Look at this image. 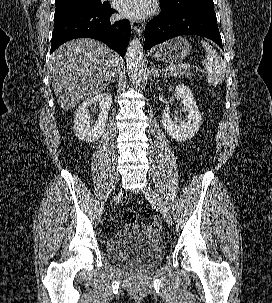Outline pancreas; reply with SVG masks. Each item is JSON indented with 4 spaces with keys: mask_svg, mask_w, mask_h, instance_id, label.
Here are the masks:
<instances>
[{
    "mask_svg": "<svg viewBox=\"0 0 272 303\" xmlns=\"http://www.w3.org/2000/svg\"><path fill=\"white\" fill-rule=\"evenodd\" d=\"M167 75L168 76H172V77H181L183 75H189V73L187 71H182V69L180 68H174V69H170L167 71Z\"/></svg>",
    "mask_w": 272,
    "mask_h": 303,
    "instance_id": "cf45deb5",
    "label": "pancreas"
}]
</instances>
